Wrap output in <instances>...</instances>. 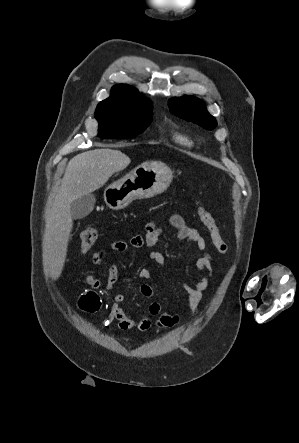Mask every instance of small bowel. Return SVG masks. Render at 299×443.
I'll return each instance as SVG.
<instances>
[{"instance_id":"c3829d8e","label":"small bowel","mask_w":299,"mask_h":443,"mask_svg":"<svg viewBox=\"0 0 299 443\" xmlns=\"http://www.w3.org/2000/svg\"><path fill=\"white\" fill-rule=\"evenodd\" d=\"M169 226L176 231L179 240H188L195 244L199 251L204 252L196 260V268L199 272V280L193 284H184L183 288L188 295V303L190 314L194 317L198 311L199 304L202 299V293L207 286L208 279L212 276V258L211 255L206 252V242L201 234L195 229L188 226L183 217L175 214L169 219ZM163 228L158 227L155 223L150 222L146 225L142 234L133 236L128 242L115 241L112 243L111 248L116 252H125L130 247L140 248L146 246L153 248L157 245L160 236L163 233ZM104 260V253L97 252L93 255V263L99 265ZM148 260L155 265L161 267L165 263L163 254L159 251L152 250L148 253ZM138 277L142 280H150L152 273L146 268H142L138 271ZM118 281V268L111 266L108 271L107 279L104 283L106 291H112ZM85 283L90 287L89 290L81 294L79 298V307L87 312L95 313L100 310L101 301L97 289L103 286V282L93 276L87 275ZM140 293L144 297H153L154 291L148 284H142L140 286ZM125 294L117 292L113 294L112 306L107 317V321H116L117 327L120 330L136 329L141 332H148L152 328L168 329L177 324L179 317L176 313L164 311L159 302L153 301L148 308V315L141 320H136L130 315L126 314L122 309L121 304L125 301Z\"/></svg>"}]
</instances>
